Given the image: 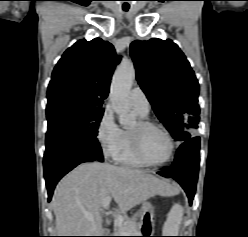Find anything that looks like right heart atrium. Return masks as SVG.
I'll return each instance as SVG.
<instances>
[{"label":"right heart atrium","mask_w":248,"mask_h":237,"mask_svg":"<svg viewBox=\"0 0 248 237\" xmlns=\"http://www.w3.org/2000/svg\"><path fill=\"white\" fill-rule=\"evenodd\" d=\"M96 138L102 154L106 158H114L121 146L122 130L109 106L105 107L97 123Z\"/></svg>","instance_id":"1"}]
</instances>
